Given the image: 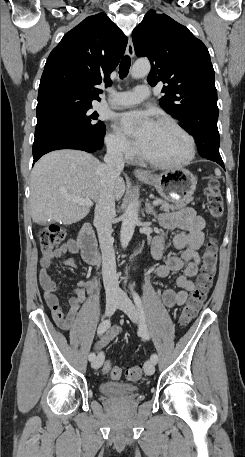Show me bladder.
<instances>
[{
  "instance_id": "obj_1",
  "label": "bladder",
  "mask_w": 245,
  "mask_h": 457,
  "mask_svg": "<svg viewBox=\"0 0 245 457\" xmlns=\"http://www.w3.org/2000/svg\"><path fill=\"white\" fill-rule=\"evenodd\" d=\"M136 391L137 387L123 382L109 381L100 384V392L103 395H132Z\"/></svg>"
}]
</instances>
